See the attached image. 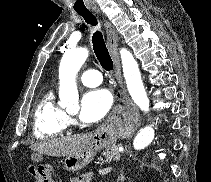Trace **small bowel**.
Listing matches in <instances>:
<instances>
[{"label":"small bowel","mask_w":211,"mask_h":182,"mask_svg":"<svg viewBox=\"0 0 211 182\" xmlns=\"http://www.w3.org/2000/svg\"><path fill=\"white\" fill-rule=\"evenodd\" d=\"M91 175L90 174H83L78 177H73L69 180V182H90ZM42 182V181H37Z\"/></svg>","instance_id":"small-bowel-1"}]
</instances>
